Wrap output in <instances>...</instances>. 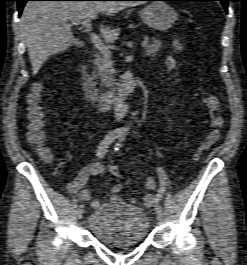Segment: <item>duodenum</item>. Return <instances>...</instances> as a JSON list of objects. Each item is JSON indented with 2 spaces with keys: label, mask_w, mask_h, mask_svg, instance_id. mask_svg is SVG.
Returning <instances> with one entry per match:
<instances>
[{
  "label": "duodenum",
  "mask_w": 247,
  "mask_h": 265,
  "mask_svg": "<svg viewBox=\"0 0 247 265\" xmlns=\"http://www.w3.org/2000/svg\"><path fill=\"white\" fill-rule=\"evenodd\" d=\"M78 71L87 97L101 109L122 105L136 86L133 73L127 70L121 74L119 85L116 88L101 92L94 86L84 62L79 63Z\"/></svg>",
  "instance_id": "duodenum-1"
}]
</instances>
